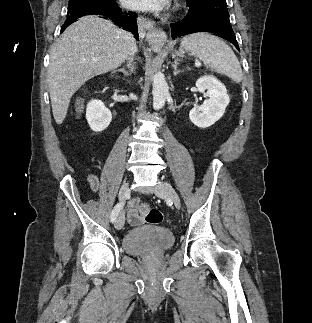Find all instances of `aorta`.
<instances>
[{"label":"aorta","mask_w":312,"mask_h":323,"mask_svg":"<svg viewBox=\"0 0 312 323\" xmlns=\"http://www.w3.org/2000/svg\"><path fill=\"white\" fill-rule=\"evenodd\" d=\"M153 108L154 110H160L163 108L167 98H169L168 84L163 74H156L153 78Z\"/></svg>","instance_id":"1"}]
</instances>
